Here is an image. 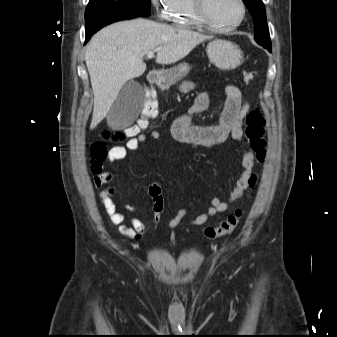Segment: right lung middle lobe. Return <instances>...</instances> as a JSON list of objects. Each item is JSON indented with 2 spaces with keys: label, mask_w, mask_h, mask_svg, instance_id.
Returning a JSON list of instances; mask_svg holds the SVG:
<instances>
[{
  "label": "right lung middle lobe",
  "mask_w": 337,
  "mask_h": 337,
  "mask_svg": "<svg viewBox=\"0 0 337 337\" xmlns=\"http://www.w3.org/2000/svg\"><path fill=\"white\" fill-rule=\"evenodd\" d=\"M112 12H126L140 16L150 15V0H89L85 21Z\"/></svg>",
  "instance_id": "1"
}]
</instances>
